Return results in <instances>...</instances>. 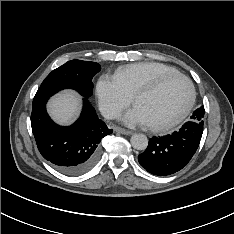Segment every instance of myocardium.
<instances>
[{
    "instance_id": "1",
    "label": "myocardium",
    "mask_w": 234,
    "mask_h": 234,
    "mask_svg": "<svg viewBox=\"0 0 234 234\" xmlns=\"http://www.w3.org/2000/svg\"><path fill=\"white\" fill-rule=\"evenodd\" d=\"M172 79H181L188 85L189 92H190L188 103H187L186 107L183 109V111L174 119L167 121L165 123H161V124H155V125L149 124V128L153 131H156V132L168 131V130L176 127L177 125H179L187 117V115L190 113L191 109L193 108L195 100H196V91H195L194 84L184 74H181V73L167 74V75H164V76L156 79L155 81L151 82L150 84L141 87L133 95V102H134V104H136L137 100L141 96L148 95V94H151V93L157 91L165 83H167L168 81H170Z\"/></svg>"
}]
</instances>
